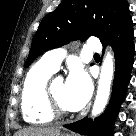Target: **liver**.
I'll use <instances>...</instances> for the list:
<instances>
[{
	"label": "liver",
	"mask_w": 136,
	"mask_h": 136,
	"mask_svg": "<svg viewBox=\"0 0 136 136\" xmlns=\"http://www.w3.org/2000/svg\"><path fill=\"white\" fill-rule=\"evenodd\" d=\"M58 133H60L59 128L29 127L16 132L15 136H56Z\"/></svg>",
	"instance_id": "6515ba94"
}]
</instances>
